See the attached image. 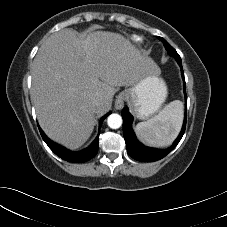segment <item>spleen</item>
<instances>
[{
	"label": "spleen",
	"instance_id": "1",
	"mask_svg": "<svg viewBox=\"0 0 227 227\" xmlns=\"http://www.w3.org/2000/svg\"><path fill=\"white\" fill-rule=\"evenodd\" d=\"M183 121V103L175 100L166 105L158 115L140 122L135 131L139 139L149 146L166 147L177 137Z\"/></svg>",
	"mask_w": 227,
	"mask_h": 227
}]
</instances>
